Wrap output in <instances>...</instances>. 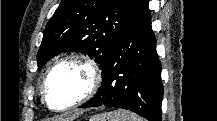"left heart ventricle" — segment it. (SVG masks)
I'll return each instance as SVG.
<instances>
[{
  "mask_svg": "<svg viewBox=\"0 0 217 121\" xmlns=\"http://www.w3.org/2000/svg\"><path fill=\"white\" fill-rule=\"evenodd\" d=\"M89 70L79 64L58 68L50 79L48 92L54 107H63L78 99L90 84Z\"/></svg>",
  "mask_w": 217,
  "mask_h": 121,
  "instance_id": "b2bd125f",
  "label": "left heart ventricle"
}]
</instances>
